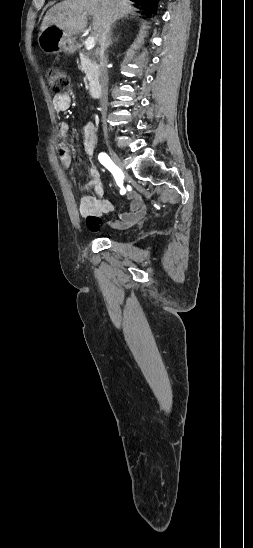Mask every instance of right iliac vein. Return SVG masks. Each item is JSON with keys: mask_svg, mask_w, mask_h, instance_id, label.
<instances>
[{"mask_svg": "<svg viewBox=\"0 0 253 548\" xmlns=\"http://www.w3.org/2000/svg\"><path fill=\"white\" fill-rule=\"evenodd\" d=\"M109 153H110V156H111L113 162L120 168V170L122 171L124 177L127 178V173L124 170L123 164H122L120 158L118 157V155L116 154V152L109 147Z\"/></svg>", "mask_w": 253, "mask_h": 548, "instance_id": "right-iliac-vein-1", "label": "right iliac vein"}]
</instances>
